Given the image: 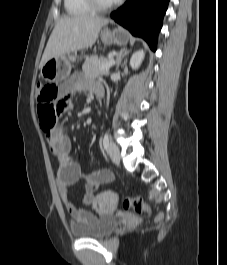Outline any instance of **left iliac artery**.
<instances>
[{
  "instance_id": "44dca946",
  "label": "left iliac artery",
  "mask_w": 227,
  "mask_h": 265,
  "mask_svg": "<svg viewBox=\"0 0 227 265\" xmlns=\"http://www.w3.org/2000/svg\"><path fill=\"white\" fill-rule=\"evenodd\" d=\"M108 145H109V135L106 132L105 135H104V139H103V146H104L105 149H107Z\"/></svg>"
}]
</instances>
